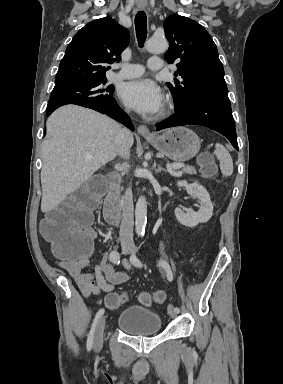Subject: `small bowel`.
Here are the masks:
<instances>
[{"mask_svg": "<svg viewBox=\"0 0 283 384\" xmlns=\"http://www.w3.org/2000/svg\"><path fill=\"white\" fill-rule=\"evenodd\" d=\"M57 264L75 280L85 297L113 292L118 285L129 280L132 268L128 261H124L126 271H116L108 260H102L95 266L93 272H88L86 271L88 258L78 261L59 259Z\"/></svg>", "mask_w": 283, "mask_h": 384, "instance_id": "c3829d8e", "label": "small bowel"}]
</instances>
